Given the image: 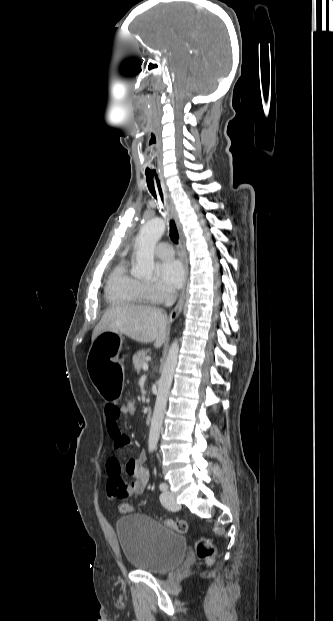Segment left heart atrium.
<instances>
[{"label":"left heart atrium","instance_id":"left-heart-atrium-1","mask_svg":"<svg viewBox=\"0 0 333 621\" xmlns=\"http://www.w3.org/2000/svg\"><path fill=\"white\" fill-rule=\"evenodd\" d=\"M157 272L160 283L170 291L180 288L184 282V268L178 260L161 262L157 266Z\"/></svg>","mask_w":333,"mask_h":621}]
</instances>
